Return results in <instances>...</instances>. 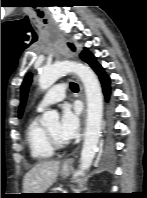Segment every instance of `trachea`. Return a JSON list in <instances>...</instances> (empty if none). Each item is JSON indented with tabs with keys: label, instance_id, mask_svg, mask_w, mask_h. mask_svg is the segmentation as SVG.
<instances>
[{
	"label": "trachea",
	"instance_id": "trachea-1",
	"mask_svg": "<svg viewBox=\"0 0 147 198\" xmlns=\"http://www.w3.org/2000/svg\"><path fill=\"white\" fill-rule=\"evenodd\" d=\"M70 88L72 91H77L78 90V85L74 82L70 83Z\"/></svg>",
	"mask_w": 147,
	"mask_h": 198
}]
</instances>
